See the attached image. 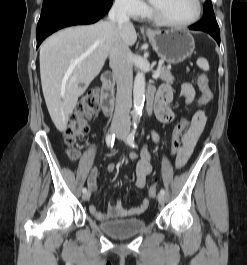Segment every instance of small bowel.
<instances>
[{"label": "small bowel", "mask_w": 247, "mask_h": 265, "mask_svg": "<svg viewBox=\"0 0 247 265\" xmlns=\"http://www.w3.org/2000/svg\"><path fill=\"white\" fill-rule=\"evenodd\" d=\"M181 93L185 98L186 104H191L195 100V88L194 86L186 82L181 87ZM173 91L169 85H162L154 98L153 111L157 120L164 124H170L176 119V113L169 107L172 101ZM206 123V114L204 111H197L193 114L188 129L181 136V148L176 160L177 168H182L188 159L190 158L196 142L202 133ZM152 139L154 142H160V137L156 133H152ZM131 159L139 158L135 166V185L144 189L147 185V178L152 172L151 156L146 147L142 148L139 154H131ZM110 172L116 170L114 164H110L108 167ZM97 169L93 167L91 169L88 178V187L90 190H95L97 186ZM150 205V201L144 198L141 203L133 208H125L120 200H112L107 203L106 211H100L95 205L89 207L90 213L98 221H105L113 218H123L134 215H139L145 212Z\"/></svg>", "instance_id": "1"}]
</instances>
